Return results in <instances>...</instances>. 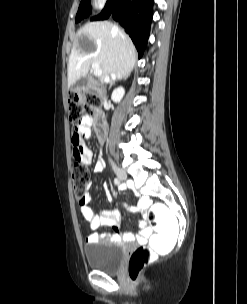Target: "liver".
Instances as JSON below:
<instances>
[{"label":"liver","instance_id":"6515ba94","mask_svg":"<svg viewBox=\"0 0 247 304\" xmlns=\"http://www.w3.org/2000/svg\"><path fill=\"white\" fill-rule=\"evenodd\" d=\"M113 27L108 21H98L78 31L68 63L69 88L88 74L93 63H98L102 70V83L129 76L136 63V49L123 30ZM81 40H87L88 45L84 46Z\"/></svg>","mask_w":247,"mask_h":304}]
</instances>
